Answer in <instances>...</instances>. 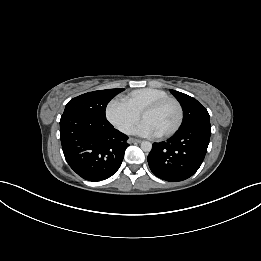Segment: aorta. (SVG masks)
Instances as JSON below:
<instances>
[{
  "label": "aorta",
  "instance_id": "1",
  "mask_svg": "<svg viewBox=\"0 0 261 261\" xmlns=\"http://www.w3.org/2000/svg\"><path fill=\"white\" fill-rule=\"evenodd\" d=\"M141 149L144 151V152H150L151 149H152V144L149 142V141H143L141 143Z\"/></svg>",
  "mask_w": 261,
  "mask_h": 261
}]
</instances>
